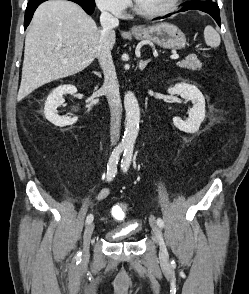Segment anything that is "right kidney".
Returning a JSON list of instances; mask_svg holds the SVG:
<instances>
[{"mask_svg":"<svg viewBox=\"0 0 249 294\" xmlns=\"http://www.w3.org/2000/svg\"><path fill=\"white\" fill-rule=\"evenodd\" d=\"M77 89L73 85H61L54 89L45 102L44 114L46 119L55 126L64 127L72 125L77 121V118H71L68 116H60L57 113V108L63 104V95L74 94Z\"/></svg>","mask_w":249,"mask_h":294,"instance_id":"1","label":"right kidney"}]
</instances>
